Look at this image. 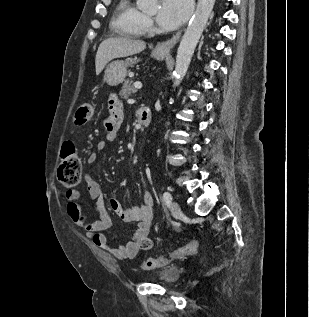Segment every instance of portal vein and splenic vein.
Returning <instances> with one entry per match:
<instances>
[{
  "mask_svg": "<svg viewBox=\"0 0 309 317\" xmlns=\"http://www.w3.org/2000/svg\"><path fill=\"white\" fill-rule=\"evenodd\" d=\"M134 87H135L136 89H141V88H142V83L139 82V81H137V82L134 83Z\"/></svg>",
  "mask_w": 309,
  "mask_h": 317,
  "instance_id": "1",
  "label": "portal vein and splenic vein"
}]
</instances>
